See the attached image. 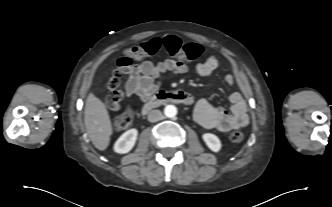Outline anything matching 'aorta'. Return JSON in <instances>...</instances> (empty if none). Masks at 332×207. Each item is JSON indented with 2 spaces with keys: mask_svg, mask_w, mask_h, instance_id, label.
Returning <instances> with one entry per match:
<instances>
[{
  "mask_svg": "<svg viewBox=\"0 0 332 207\" xmlns=\"http://www.w3.org/2000/svg\"><path fill=\"white\" fill-rule=\"evenodd\" d=\"M164 114L169 118L175 117L177 114V108L174 105H167L164 108Z\"/></svg>",
  "mask_w": 332,
  "mask_h": 207,
  "instance_id": "obj_1",
  "label": "aorta"
}]
</instances>
